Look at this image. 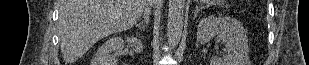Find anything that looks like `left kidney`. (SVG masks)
Wrapping results in <instances>:
<instances>
[{"mask_svg": "<svg viewBox=\"0 0 309 65\" xmlns=\"http://www.w3.org/2000/svg\"><path fill=\"white\" fill-rule=\"evenodd\" d=\"M219 35L226 44L227 54L212 57L210 65H247L249 47L246 31L235 18L228 16H208L202 19L197 28V42L201 45Z\"/></svg>", "mask_w": 309, "mask_h": 65, "instance_id": "obj_1", "label": "left kidney"}]
</instances>
